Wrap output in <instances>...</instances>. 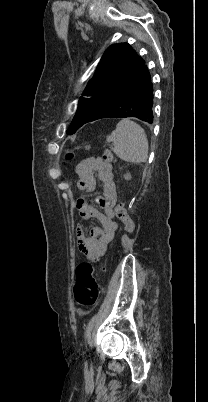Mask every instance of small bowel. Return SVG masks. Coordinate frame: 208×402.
Returning a JSON list of instances; mask_svg holds the SVG:
<instances>
[{
	"label": "small bowel",
	"instance_id": "small-bowel-1",
	"mask_svg": "<svg viewBox=\"0 0 208 402\" xmlns=\"http://www.w3.org/2000/svg\"><path fill=\"white\" fill-rule=\"evenodd\" d=\"M76 173L79 177L78 189L83 193L93 192L97 181L102 183V196L99 203L103 213L90 205L85 196L80 197L76 202V208L82 218L86 220L97 218L102 224L101 228L92 227L89 237L86 236L82 226L78 225L75 229L80 251L94 258L105 253L118 230L113 209L116 202L113 168L111 162L99 157H89L77 165Z\"/></svg>",
	"mask_w": 208,
	"mask_h": 402
}]
</instances>
